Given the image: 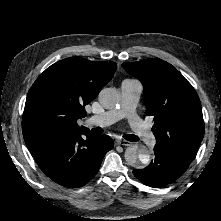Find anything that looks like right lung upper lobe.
I'll return each mask as SVG.
<instances>
[{
	"label": "right lung upper lobe",
	"instance_id": "obj_1",
	"mask_svg": "<svg viewBox=\"0 0 221 221\" xmlns=\"http://www.w3.org/2000/svg\"><path fill=\"white\" fill-rule=\"evenodd\" d=\"M115 62H94L69 57L47 68L30 88L22 119L24 140L30 151L74 132L87 129L77 121L85 106L112 79Z\"/></svg>",
	"mask_w": 221,
	"mask_h": 221
}]
</instances>
